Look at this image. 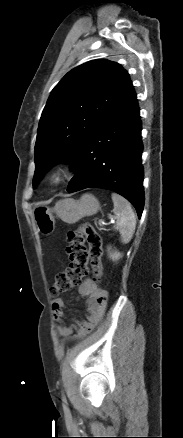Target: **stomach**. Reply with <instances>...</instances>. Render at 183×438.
Masks as SVG:
<instances>
[{
    "instance_id": "1",
    "label": "stomach",
    "mask_w": 183,
    "mask_h": 438,
    "mask_svg": "<svg viewBox=\"0 0 183 438\" xmlns=\"http://www.w3.org/2000/svg\"><path fill=\"white\" fill-rule=\"evenodd\" d=\"M99 208L100 204L92 194H84L79 200L62 199L54 208L36 206L32 211V217L38 232L47 236L55 229L54 213L65 223L74 224L83 217L96 214Z\"/></svg>"
}]
</instances>
